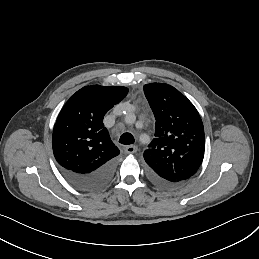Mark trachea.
<instances>
[{
  "instance_id": "obj_1",
  "label": "trachea",
  "mask_w": 259,
  "mask_h": 259,
  "mask_svg": "<svg viewBox=\"0 0 259 259\" xmlns=\"http://www.w3.org/2000/svg\"><path fill=\"white\" fill-rule=\"evenodd\" d=\"M119 142L123 145H131L135 142V139L130 133H124L121 135Z\"/></svg>"
}]
</instances>
